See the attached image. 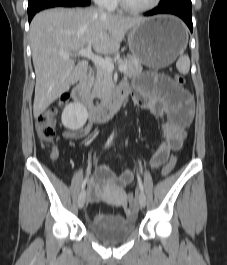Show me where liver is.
<instances>
[{
	"label": "liver",
	"mask_w": 227,
	"mask_h": 265,
	"mask_svg": "<svg viewBox=\"0 0 227 265\" xmlns=\"http://www.w3.org/2000/svg\"><path fill=\"white\" fill-rule=\"evenodd\" d=\"M144 20L96 8H56L36 14L30 24L36 74L34 117H39L86 74L88 62L82 60L76 64L75 52L90 44L96 53L115 54L125 33ZM62 54H68L69 59Z\"/></svg>",
	"instance_id": "liver-1"
}]
</instances>
